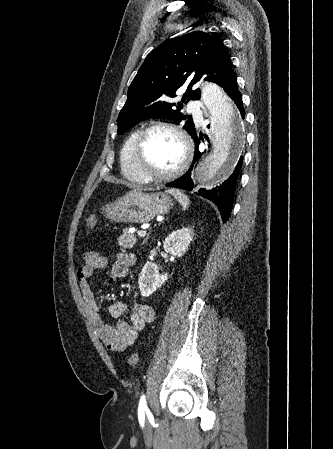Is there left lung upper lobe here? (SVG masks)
Instances as JSON below:
<instances>
[{
    "mask_svg": "<svg viewBox=\"0 0 333 449\" xmlns=\"http://www.w3.org/2000/svg\"><path fill=\"white\" fill-rule=\"evenodd\" d=\"M232 72L223 42L206 32L193 31L161 44L146 57L128 89L118 116V133L145 119L165 118L176 123L185 120L183 128L195 134L192 117L183 115V104L173 103L171 98L188 81L182 102L199 100V88L192 87L201 78L222 86Z\"/></svg>",
    "mask_w": 333,
    "mask_h": 449,
    "instance_id": "obj_1",
    "label": "left lung upper lobe"
}]
</instances>
